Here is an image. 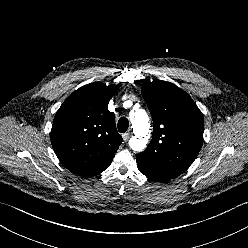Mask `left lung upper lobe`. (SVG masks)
<instances>
[{
    "label": "left lung upper lobe",
    "instance_id": "5c2ea615",
    "mask_svg": "<svg viewBox=\"0 0 248 248\" xmlns=\"http://www.w3.org/2000/svg\"><path fill=\"white\" fill-rule=\"evenodd\" d=\"M142 95L154 127L148 147L136 156L138 169L152 180L168 181L197 157L203 144V116L191 97L170 82H145Z\"/></svg>",
    "mask_w": 248,
    "mask_h": 248
}]
</instances>
